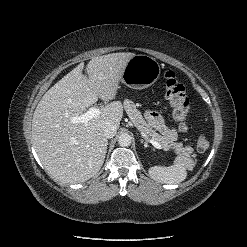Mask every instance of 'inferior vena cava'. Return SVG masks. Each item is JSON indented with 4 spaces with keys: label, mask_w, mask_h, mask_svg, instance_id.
<instances>
[{
    "label": "inferior vena cava",
    "mask_w": 247,
    "mask_h": 247,
    "mask_svg": "<svg viewBox=\"0 0 247 247\" xmlns=\"http://www.w3.org/2000/svg\"><path fill=\"white\" fill-rule=\"evenodd\" d=\"M117 127L113 123H107L103 128V134L106 138H112L115 136Z\"/></svg>",
    "instance_id": "1"
}]
</instances>
